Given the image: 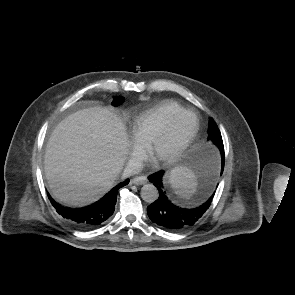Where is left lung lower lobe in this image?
<instances>
[{
  "label": "left lung lower lobe",
  "instance_id": "0a47b994",
  "mask_svg": "<svg viewBox=\"0 0 295 295\" xmlns=\"http://www.w3.org/2000/svg\"><path fill=\"white\" fill-rule=\"evenodd\" d=\"M222 169L224 167V152L220 151ZM164 171L156 172L148 177L159 190V198L147 208L151 221L169 231H179L193 225L209 208L214 194L201 206L196 208H181L171 203L162 190V176Z\"/></svg>",
  "mask_w": 295,
  "mask_h": 295
}]
</instances>
